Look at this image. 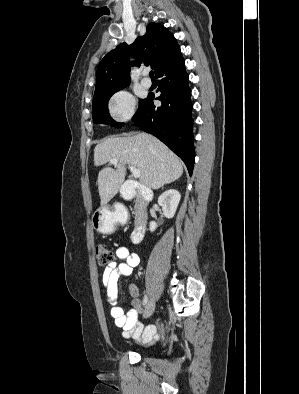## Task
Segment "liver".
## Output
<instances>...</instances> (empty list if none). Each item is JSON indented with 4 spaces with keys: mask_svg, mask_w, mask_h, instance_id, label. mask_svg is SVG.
<instances>
[{
    "mask_svg": "<svg viewBox=\"0 0 299 394\" xmlns=\"http://www.w3.org/2000/svg\"><path fill=\"white\" fill-rule=\"evenodd\" d=\"M111 159L118 160L115 168L106 167L98 174L101 205H106L119 191L125 180L126 164L139 169L140 182L151 189L174 182L183 173L179 157L147 133L111 137L99 143L94 149V165H103Z\"/></svg>",
    "mask_w": 299,
    "mask_h": 394,
    "instance_id": "obj_1",
    "label": "liver"
}]
</instances>
